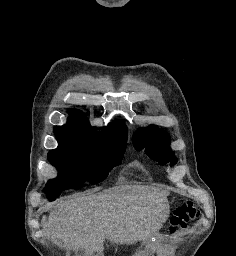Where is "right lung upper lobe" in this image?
Returning <instances> with one entry per match:
<instances>
[{
  "instance_id": "cb5924a9",
  "label": "right lung upper lobe",
  "mask_w": 236,
  "mask_h": 256,
  "mask_svg": "<svg viewBox=\"0 0 236 256\" xmlns=\"http://www.w3.org/2000/svg\"><path fill=\"white\" fill-rule=\"evenodd\" d=\"M103 130L104 133L96 132V128L89 124L85 115L81 111L74 109H70V116L66 125L54 127L55 134H73L110 142L127 141V127L121 121H113Z\"/></svg>"
}]
</instances>
